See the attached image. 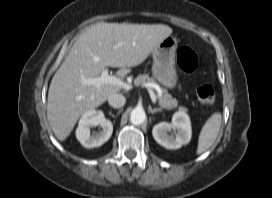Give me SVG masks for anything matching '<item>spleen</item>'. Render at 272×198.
I'll use <instances>...</instances> for the list:
<instances>
[{"label":"spleen","mask_w":272,"mask_h":198,"mask_svg":"<svg viewBox=\"0 0 272 198\" xmlns=\"http://www.w3.org/2000/svg\"><path fill=\"white\" fill-rule=\"evenodd\" d=\"M222 123L220 112L213 113L203 125L199 139L196 154L200 155L207 151L215 142Z\"/></svg>","instance_id":"obj_1"}]
</instances>
